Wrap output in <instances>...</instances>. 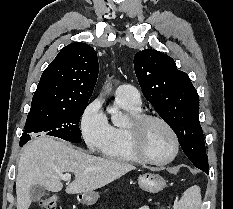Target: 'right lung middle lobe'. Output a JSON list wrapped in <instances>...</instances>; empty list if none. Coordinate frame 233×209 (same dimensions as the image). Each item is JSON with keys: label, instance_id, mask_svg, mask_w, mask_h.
I'll use <instances>...</instances> for the list:
<instances>
[{"label": "right lung middle lobe", "instance_id": "obj_1", "mask_svg": "<svg viewBox=\"0 0 233 209\" xmlns=\"http://www.w3.org/2000/svg\"><path fill=\"white\" fill-rule=\"evenodd\" d=\"M86 106L87 103L65 109L31 108L27 116L25 132L20 138V146L31 139L29 133L47 131V135L81 143V132L78 124Z\"/></svg>", "mask_w": 233, "mask_h": 209}]
</instances>
